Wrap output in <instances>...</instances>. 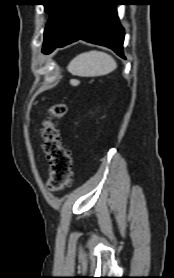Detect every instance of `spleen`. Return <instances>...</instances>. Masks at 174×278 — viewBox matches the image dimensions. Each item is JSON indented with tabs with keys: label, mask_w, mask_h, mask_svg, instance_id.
<instances>
[{
	"label": "spleen",
	"mask_w": 174,
	"mask_h": 278,
	"mask_svg": "<svg viewBox=\"0 0 174 278\" xmlns=\"http://www.w3.org/2000/svg\"><path fill=\"white\" fill-rule=\"evenodd\" d=\"M114 58L101 51H89L76 56L67 66L68 71L80 77H96L116 69Z\"/></svg>",
	"instance_id": "1"
}]
</instances>
